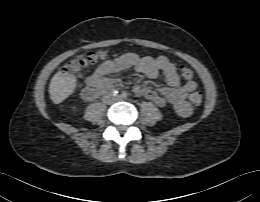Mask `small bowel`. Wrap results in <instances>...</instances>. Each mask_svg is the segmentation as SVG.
Instances as JSON below:
<instances>
[{"instance_id": "obj_1", "label": "small bowel", "mask_w": 260, "mask_h": 202, "mask_svg": "<svg viewBox=\"0 0 260 202\" xmlns=\"http://www.w3.org/2000/svg\"><path fill=\"white\" fill-rule=\"evenodd\" d=\"M132 67L149 79H154L161 73L167 83L166 87L158 90L143 84H136L133 87V92L136 95L149 99L158 107L170 103L182 117L191 115L192 109L185 98L188 93L197 88V84L192 81L181 85L175 64L166 56L154 58L150 56L141 57L133 53L121 54L99 66L87 83L89 86L102 83L112 84L117 80V77L109 78L108 76L116 75Z\"/></svg>"}]
</instances>
